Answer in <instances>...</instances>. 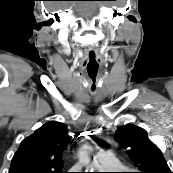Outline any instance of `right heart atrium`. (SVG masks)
<instances>
[{"instance_id": "obj_1", "label": "right heart atrium", "mask_w": 173, "mask_h": 173, "mask_svg": "<svg viewBox=\"0 0 173 173\" xmlns=\"http://www.w3.org/2000/svg\"><path fill=\"white\" fill-rule=\"evenodd\" d=\"M72 169H73V172L72 173H81L78 169H79V167L78 166H74V167H72Z\"/></svg>"}]
</instances>
